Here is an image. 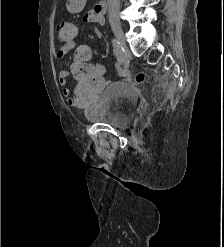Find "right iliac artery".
I'll return each instance as SVG.
<instances>
[{"instance_id": "right-iliac-artery-1", "label": "right iliac artery", "mask_w": 224, "mask_h": 247, "mask_svg": "<svg viewBox=\"0 0 224 247\" xmlns=\"http://www.w3.org/2000/svg\"><path fill=\"white\" fill-rule=\"evenodd\" d=\"M112 45L114 48L115 55L118 60V67L123 63L124 50L119 45V42L116 39H112Z\"/></svg>"}]
</instances>
